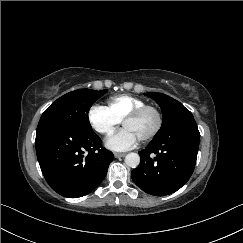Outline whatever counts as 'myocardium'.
I'll return each mask as SVG.
<instances>
[{
    "instance_id": "1",
    "label": "myocardium",
    "mask_w": 243,
    "mask_h": 243,
    "mask_svg": "<svg viewBox=\"0 0 243 243\" xmlns=\"http://www.w3.org/2000/svg\"><path fill=\"white\" fill-rule=\"evenodd\" d=\"M149 111L155 115L156 124H155L154 128L152 129V131L146 137H144L143 139L140 140L141 143H147V142L151 141L160 132V130L163 126V115H162L161 111L155 106L144 105L142 107L134 109L132 112L127 114L122 119V123L124 124L125 122H127L129 120H135V119L139 118L140 116H142L143 114H145L146 112H149Z\"/></svg>"
}]
</instances>
